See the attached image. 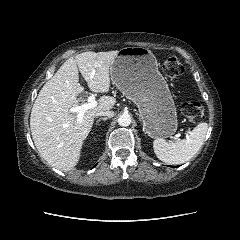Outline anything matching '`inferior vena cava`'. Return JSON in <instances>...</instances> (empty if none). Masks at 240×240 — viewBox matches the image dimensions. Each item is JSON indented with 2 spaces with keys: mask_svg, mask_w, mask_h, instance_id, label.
Returning <instances> with one entry per match:
<instances>
[{
  "mask_svg": "<svg viewBox=\"0 0 240 240\" xmlns=\"http://www.w3.org/2000/svg\"><path fill=\"white\" fill-rule=\"evenodd\" d=\"M95 116H106L108 118H112L114 116V112L110 111V110H106V111H99L95 114Z\"/></svg>",
  "mask_w": 240,
  "mask_h": 240,
  "instance_id": "inferior-vena-cava-1",
  "label": "inferior vena cava"
}]
</instances>
